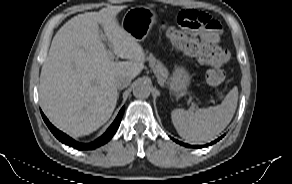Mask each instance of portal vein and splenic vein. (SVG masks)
<instances>
[{
  "label": "portal vein and splenic vein",
  "mask_w": 292,
  "mask_h": 184,
  "mask_svg": "<svg viewBox=\"0 0 292 184\" xmlns=\"http://www.w3.org/2000/svg\"><path fill=\"white\" fill-rule=\"evenodd\" d=\"M108 54H109L111 59H114V54L111 51H109Z\"/></svg>",
  "instance_id": "18ae733b"
}]
</instances>
